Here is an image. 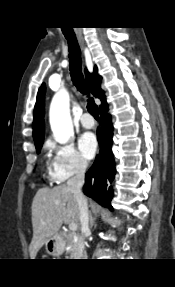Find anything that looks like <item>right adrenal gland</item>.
Masks as SVG:
<instances>
[{
    "mask_svg": "<svg viewBox=\"0 0 175 287\" xmlns=\"http://www.w3.org/2000/svg\"><path fill=\"white\" fill-rule=\"evenodd\" d=\"M94 225V218L92 217V214L90 213V228H92Z\"/></svg>",
    "mask_w": 175,
    "mask_h": 287,
    "instance_id": "right-adrenal-gland-1",
    "label": "right adrenal gland"
}]
</instances>
